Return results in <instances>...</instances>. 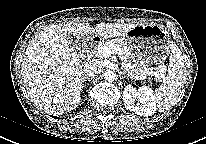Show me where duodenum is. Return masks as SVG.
Wrapping results in <instances>:
<instances>
[{
  "label": "duodenum",
  "instance_id": "obj_1",
  "mask_svg": "<svg viewBox=\"0 0 206 144\" xmlns=\"http://www.w3.org/2000/svg\"><path fill=\"white\" fill-rule=\"evenodd\" d=\"M100 42V38L98 36H94L91 40H90V45L91 47H95L97 46V44Z\"/></svg>",
  "mask_w": 206,
  "mask_h": 144
}]
</instances>
